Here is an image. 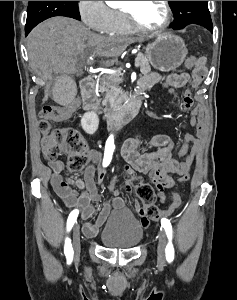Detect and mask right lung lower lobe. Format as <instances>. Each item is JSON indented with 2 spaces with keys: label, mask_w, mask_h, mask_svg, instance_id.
I'll return each mask as SVG.
<instances>
[{
  "label": "right lung lower lobe",
  "mask_w": 237,
  "mask_h": 300,
  "mask_svg": "<svg viewBox=\"0 0 237 300\" xmlns=\"http://www.w3.org/2000/svg\"><path fill=\"white\" fill-rule=\"evenodd\" d=\"M32 30V27H25V35L27 36V34Z\"/></svg>",
  "instance_id": "1"
}]
</instances>
